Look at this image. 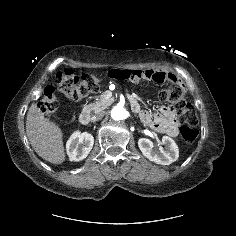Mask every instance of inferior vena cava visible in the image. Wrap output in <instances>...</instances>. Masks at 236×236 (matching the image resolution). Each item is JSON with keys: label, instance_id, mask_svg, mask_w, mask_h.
Returning <instances> with one entry per match:
<instances>
[{"label": "inferior vena cava", "instance_id": "inferior-vena-cava-1", "mask_svg": "<svg viewBox=\"0 0 236 236\" xmlns=\"http://www.w3.org/2000/svg\"><path fill=\"white\" fill-rule=\"evenodd\" d=\"M104 116V113L103 112H100L94 116L91 117V121L92 122H95V121H98L100 120L102 117Z\"/></svg>", "mask_w": 236, "mask_h": 236}]
</instances>
